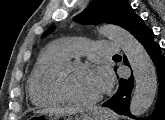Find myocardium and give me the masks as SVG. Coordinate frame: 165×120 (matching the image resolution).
Wrapping results in <instances>:
<instances>
[{
  "label": "myocardium",
  "instance_id": "1",
  "mask_svg": "<svg viewBox=\"0 0 165 120\" xmlns=\"http://www.w3.org/2000/svg\"><path fill=\"white\" fill-rule=\"evenodd\" d=\"M78 69H89V65L80 60H72V61H67L65 64L61 66L55 77V89L57 93L64 101L77 105H94L98 103L99 101L102 100L103 93H101L95 98L81 99L75 97L69 91L68 88L69 76L74 70H78Z\"/></svg>",
  "mask_w": 165,
  "mask_h": 120
}]
</instances>
